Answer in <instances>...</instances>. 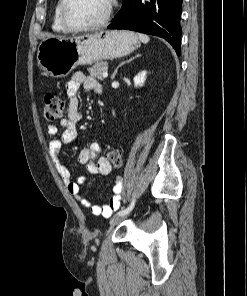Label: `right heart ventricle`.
<instances>
[{
  "label": "right heart ventricle",
  "instance_id": "1",
  "mask_svg": "<svg viewBox=\"0 0 247 296\" xmlns=\"http://www.w3.org/2000/svg\"><path fill=\"white\" fill-rule=\"evenodd\" d=\"M62 0H57L54 6L53 16H52V29L58 33H68L69 31L62 25L60 20V6Z\"/></svg>",
  "mask_w": 247,
  "mask_h": 296
}]
</instances>
